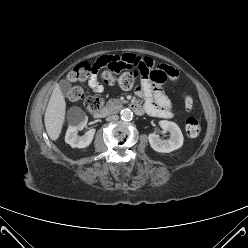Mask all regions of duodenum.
<instances>
[{"label":"duodenum","mask_w":248,"mask_h":248,"mask_svg":"<svg viewBox=\"0 0 248 248\" xmlns=\"http://www.w3.org/2000/svg\"><path fill=\"white\" fill-rule=\"evenodd\" d=\"M130 108L137 114H141L143 112V109L140 105L136 104V103H130ZM108 114V110L103 108V109H100L99 111H97L94 116L95 118H103L105 117L106 115Z\"/></svg>","instance_id":"410a0bca"}]
</instances>
